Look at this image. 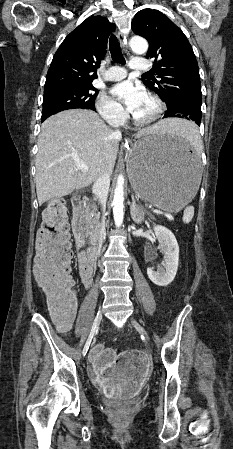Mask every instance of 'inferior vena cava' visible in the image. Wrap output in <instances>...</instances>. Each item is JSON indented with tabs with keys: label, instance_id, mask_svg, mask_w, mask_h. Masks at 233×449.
Wrapping results in <instances>:
<instances>
[{
	"label": "inferior vena cava",
	"instance_id": "inferior-vena-cava-1",
	"mask_svg": "<svg viewBox=\"0 0 233 449\" xmlns=\"http://www.w3.org/2000/svg\"><path fill=\"white\" fill-rule=\"evenodd\" d=\"M114 135L120 137L121 132L119 130H116L114 132ZM109 186H110V174L107 172H103L94 181L92 187L94 197L96 200H98L99 204L102 206L103 209L105 208L106 205ZM104 231H105V222L104 217H102V222L98 227V243L100 247L102 246V236Z\"/></svg>",
	"mask_w": 233,
	"mask_h": 449
}]
</instances>
